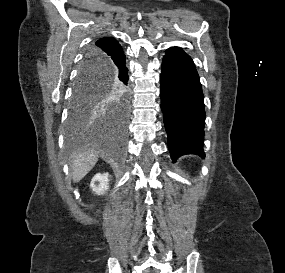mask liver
Segmentation results:
<instances>
[{
	"label": "liver",
	"instance_id": "6515ba94",
	"mask_svg": "<svg viewBox=\"0 0 285 273\" xmlns=\"http://www.w3.org/2000/svg\"><path fill=\"white\" fill-rule=\"evenodd\" d=\"M99 158L98 152L88 150L79 152L72 157V179L74 183L84 178L95 166Z\"/></svg>",
	"mask_w": 285,
	"mask_h": 273
}]
</instances>
